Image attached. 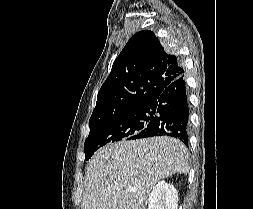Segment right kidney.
<instances>
[{"mask_svg": "<svg viewBox=\"0 0 253 209\" xmlns=\"http://www.w3.org/2000/svg\"><path fill=\"white\" fill-rule=\"evenodd\" d=\"M148 209H177L178 192L173 185L160 181L148 199Z\"/></svg>", "mask_w": 253, "mask_h": 209, "instance_id": "right-kidney-1", "label": "right kidney"}]
</instances>
